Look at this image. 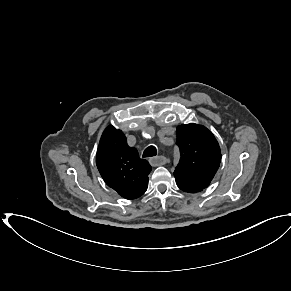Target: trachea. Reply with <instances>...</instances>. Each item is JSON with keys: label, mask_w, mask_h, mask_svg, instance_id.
<instances>
[{"label": "trachea", "mask_w": 291, "mask_h": 291, "mask_svg": "<svg viewBox=\"0 0 291 291\" xmlns=\"http://www.w3.org/2000/svg\"><path fill=\"white\" fill-rule=\"evenodd\" d=\"M157 150L154 146L147 147L143 152V157H152L156 156Z\"/></svg>", "instance_id": "obj_1"}]
</instances>
